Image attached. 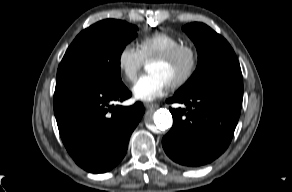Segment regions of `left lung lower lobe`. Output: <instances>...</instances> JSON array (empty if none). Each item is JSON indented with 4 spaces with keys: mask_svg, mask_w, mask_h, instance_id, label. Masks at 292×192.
<instances>
[{
    "mask_svg": "<svg viewBox=\"0 0 292 192\" xmlns=\"http://www.w3.org/2000/svg\"><path fill=\"white\" fill-rule=\"evenodd\" d=\"M243 88L217 87L186 95L175 94L168 103H184L172 109L173 127L163 137L165 153L184 166L212 162L228 147L237 125Z\"/></svg>",
    "mask_w": 292,
    "mask_h": 192,
    "instance_id": "1",
    "label": "left lung lower lobe"
}]
</instances>
